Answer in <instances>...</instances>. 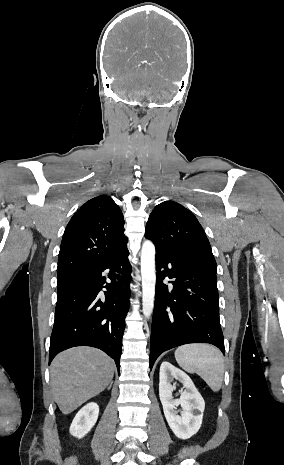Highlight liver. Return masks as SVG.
<instances>
[{"label":"liver","mask_w":284,"mask_h":465,"mask_svg":"<svg viewBox=\"0 0 284 465\" xmlns=\"http://www.w3.org/2000/svg\"><path fill=\"white\" fill-rule=\"evenodd\" d=\"M113 375L112 359L98 349L76 347L63 351L51 365L54 401L63 415H69L104 391Z\"/></svg>","instance_id":"liver-1"}]
</instances>
